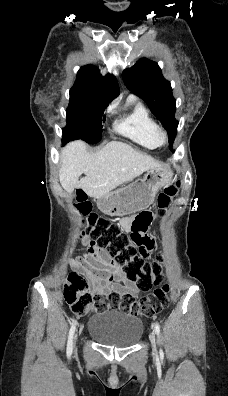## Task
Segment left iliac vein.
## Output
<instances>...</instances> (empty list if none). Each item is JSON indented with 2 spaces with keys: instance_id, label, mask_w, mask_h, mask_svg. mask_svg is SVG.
Instances as JSON below:
<instances>
[{
  "instance_id": "obj_1",
  "label": "left iliac vein",
  "mask_w": 228,
  "mask_h": 396,
  "mask_svg": "<svg viewBox=\"0 0 228 396\" xmlns=\"http://www.w3.org/2000/svg\"><path fill=\"white\" fill-rule=\"evenodd\" d=\"M149 340H150L152 346L155 347V345H156V337H155V333H154V332H151V333H150V335H149ZM154 351H155V350H154Z\"/></svg>"
}]
</instances>
